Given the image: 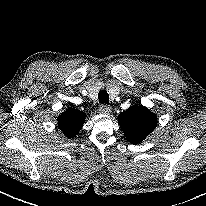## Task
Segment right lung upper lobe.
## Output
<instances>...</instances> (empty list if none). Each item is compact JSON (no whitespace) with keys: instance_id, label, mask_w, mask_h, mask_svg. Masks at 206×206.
Listing matches in <instances>:
<instances>
[{"instance_id":"right-lung-upper-lobe-1","label":"right lung upper lobe","mask_w":206,"mask_h":206,"mask_svg":"<svg viewBox=\"0 0 206 206\" xmlns=\"http://www.w3.org/2000/svg\"><path fill=\"white\" fill-rule=\"evenodd\" d=\"M86 113L70 108L58 118V125L68 138L74 137L82 128Z\"/></svg>"}]
</instances>
